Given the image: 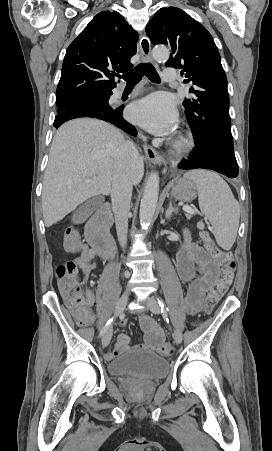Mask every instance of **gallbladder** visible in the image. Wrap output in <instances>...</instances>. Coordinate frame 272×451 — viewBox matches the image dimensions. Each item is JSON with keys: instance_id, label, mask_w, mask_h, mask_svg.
<instances>
[{"instance_id": "bac80fb5", "label": "gallbladder", "mask_w": 272, "mask_h": 451, "mask_svg": "<svg viewBox=\"0 0 272 451\" xmlns=\"http://www.w3.org/2000/svg\"><path fill=\"white\" fill-rule=\"evenodd\" d=\"M90 202H92V200H89V202H87V204H83V206H81L80 210H78V212H76V214H74L73 222H77V224H79V222H84L85 218H88V216H91L92 212H94V210H96V206H95V208H91ZM87 210H90V212H87Z\"/></svg>"}]
</instances>
